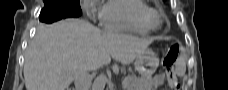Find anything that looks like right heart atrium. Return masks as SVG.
<instances>
[{"instance_id":"obj_1","label":"right heart atrium","mask_w":228,"mask_h":90,"mask_svg":"<svg viewBox=\"0 0 228 90\" xmlns=\"http://www.w3.org/2000/svg\"><path fill=\"white\" fill-rule=\"evenodd\" d=\"M96 3H97L96 0H84L82 2L85 12L90 18H94L93 8L96 5ZM100 17H101V12H100Z\"/></svg>"}]
</instances>
